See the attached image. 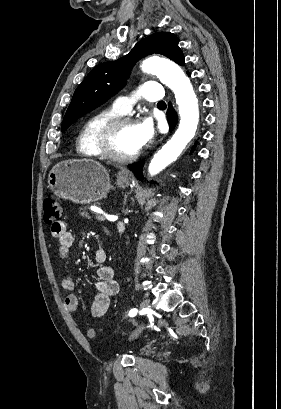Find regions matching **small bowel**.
<instances>
[{
  "mask_svg": "<svg viewBox=\"0 0 281 409\" xmlns=\"http://www.w3.org/2000/svg\"><path fill=\"white\" fill-rule=\"evenodd\" d=\"M51 234L58 243L56 252L58 259L67 261L74 241L72 233L68 231L67 225L63 221H55L51 225ZM107 258L108 250L104 246L96 247L94 259L100 265L95 270L97 277V281L93 286L95 298L90 307L91 314L94 317L103 316L109 308L111 298L119 292V284L115 280L114 269L112 266L105 264ZM60 284L66 291L73 290L75 287L72 275L66 272L61 275ZM65 305L70 313H79L84 309L75 295L67 296Z\"/></svg>",
  "mask_w": 281,
  "mask_h": 409,
  "instance_id": "1",
  "label": "small bowel"
}]
</instances>
